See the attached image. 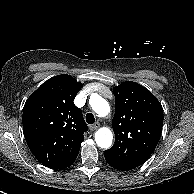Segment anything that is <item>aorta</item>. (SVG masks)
Segmentation results:
<instances>
[{"label":"aorta","instance_id":"obj_1","mask_svg":"<svg viewBox=\"0 0 194 194\" xmlns=\"http://www.w3.org/2000/svg\"><path fill=\"white\" fill-rule=\"evenodd\" d=\"M90 105L95 113L100 117H105L110 112L109 103L100 96H95L90 100ZM113 133L107 127L98 129L95 133V141L101 148L108 149L112 145Z\"/></svg>","mask_w":194,"mask_h":194}]
</instances>
